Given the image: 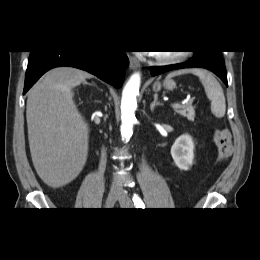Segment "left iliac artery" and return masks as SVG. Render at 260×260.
<instances>
[{
  "instance_id": "44dca946",
  "label": "left iliac artery",
  "mask_w": 260,
  "mask_h": 260,
  "mask_svg": "<svg viewBox=\"0 0 260 260\" xmlns=\"http://www.w3.org/2000/svg\"><path fill=\"white\" fill-rule=\"evenodd\" d=\"M133 202L137 206V208H140V209L145 208V205H144L142 199L136 194H134V196H133Z\"/></svg>"
}]
</instances>
